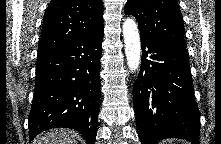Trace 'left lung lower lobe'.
I'll return each mask as SVG.
<instances>
[{
  "instance_id": "1",
  "label": "left lung lower lobe",
  "mask_w": 221,
  "mask_h": 144,
  "mask_svg": "<svg viewBox=\"0 0 221 144\" xmlns=\"http://www.w3.org/2000/svg\"><path fill=\"white\" fill-rule=\"evenodd\" d=\"M141 44V68L133 87L141 143L173 137L199 144L200 113L187 49L143 36Z\"/></svg>"
}]
</instances>
